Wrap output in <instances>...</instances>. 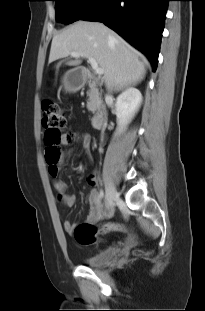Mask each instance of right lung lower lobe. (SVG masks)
<instances>
[{"instance_id": "98d812e1", "label": "right lung lower lobe", "mask_w": 205, "mask_h": 311, "mask_svg": "<svg viewBox=\"0 0 205 311\" xmlns=\"http://www.w3.org/2000/svg\"><path fill=\"white\" fill-rule=\"evenodd\" d=\"M170 0H102L81 20L102 22L144 53L156 70Z\"/></svg>"}]
</instances>
